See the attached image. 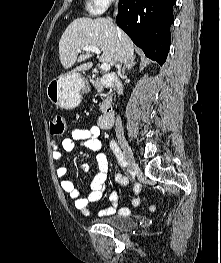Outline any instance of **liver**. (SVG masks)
<instances>
[{"mask_svg": "<svg viewBox=\"0 0 221 263\" xmlns=\"http://www.w3.org/2000/svg\"><path fill=\"white\" fill-rule=\"evenodd\" d=\"M84 46H95L102 50L100 61L111 66L118 62L134 60V48L130 38L107 18L90 19L87 17L73 20L59 41V57L65 69L71 68L93 56V52L82 53L78 50ZM93 63L88 61L77 66L73 72L86 71Z\"/></svg>", "mask_w": 221, "mask_h": 263, "instance_id": "liver-1", "label": "liver"}]
</instances>
